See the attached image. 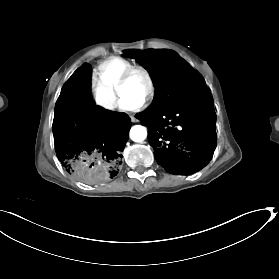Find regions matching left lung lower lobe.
Listing matches in <instances>:
<instances>
[{
    "label": "left lung lower lobe",
    "instance_id": "0a47b994",
    "mask_svg": "<svg viewBox=\"0 0 279 279\" xmlns=\"http://www.w3.org/2000/svg\"><path fill=\"white\" fill-rule=\"evenodd\" d=\"M136 117L148 128L155 159L166 172L189 175L211 160L216 146V114L207 88L157 115L140 113Z\"/></svg>",
    "mask_w": 279,
    "mask_h": 279
}]
</instances>
